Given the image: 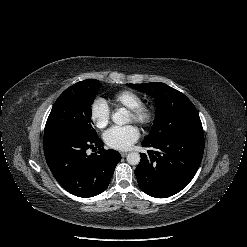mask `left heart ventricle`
Instances as JSON below:
<instances>
[{"instance_id":"1","label":"left heart ventricle","mask_w":247,"mask_h":247,"mask_svg":"<svg viewBox=\"0 0 247 247\" xmlns=\"http://www.w3.org/2000/svg\"><path fill=\"white\" fill-rule=\"evenodd\" d=\"M128 121H129V122H130V121H133V117H132L131 113H129V115H128Z\"/></svg>"}]
</instances>
